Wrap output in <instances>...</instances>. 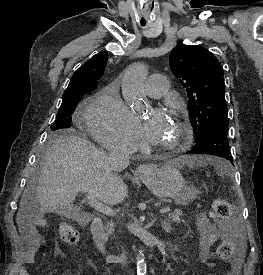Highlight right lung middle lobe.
<instances>
[{
    "label": "right lung middle lobe",
    "instance_id": "right-lung-middle-lobe-1",
    "mask_svg": "<svg viewBox=\"0 0 263 275\" xmlns=\"http://www.w3.org/2000/svg\"><path fill=\"white\" fill-rule=\"evenodd\" d=\"M87 92H89V90H77L63 94L62 103L57 112L56 120L53 126H51L53 131L71 127L72 114L83 94Z\"/></svg>",
    "mask_w": 263,
    "mask_h": 275
}]
</instances>
